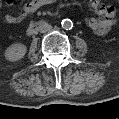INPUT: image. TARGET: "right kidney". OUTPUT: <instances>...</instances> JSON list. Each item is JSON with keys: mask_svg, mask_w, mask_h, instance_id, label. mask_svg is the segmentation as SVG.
Here are the masks:
<instances>
[{"mask_svg": "<svg viewBox=\"0 0 119 119\" xmlns=\"http://www.w3.org/2000/svg\"><path fill=\"white\" fill-rule=\"evenodd\" d=\"M27 52V48L25 45L21 44V43H16L11 45L5 53L6 58L9 61H18L20 59H22L24 57V55Z\"/></svg>", "mask_w": 119, "mask_h": 119, "instance_id": "obj_1", "label": "right kidney"}]
</instances>
